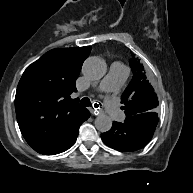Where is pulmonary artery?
Returning a JSON list of instances; mask_svg holds the SVG:
<instances>
[{"mask_svg":"<svg viewBox=\"0 0 193 193\" xmlns=\"http://www.w3.org/2000/svg\"><path fill=\"white\" fill-rule=\"evenodd\" d=\"M127 72L126 67L120 63H113L110 66L109 73L106 77L101 81L98 86V91L112 93L117 91L125 77ZM104 104L108 107V112L112 120L121 122L123 120L122 111L116 106L115 100H110L107 98L104 101Z\"/></svg>","mask_w":193,"mask_h":193,"instance_id":"1","label":"pulmonary artery"}]
</instances>
